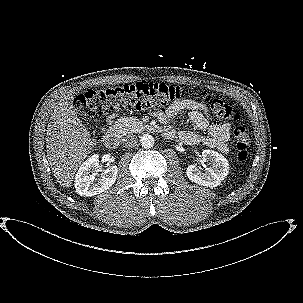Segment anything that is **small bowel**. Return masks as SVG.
I'll return each instance as SVG.
<instances>
[{"label":"small bowel","mask_w":303,"mask_h":303,"mask_svg":"<svg viewBox=\"0 0 303 303\" xmlns=\"http://www.w3.org/2000/svg\"><path fill=\"white\" fill-rule=\"evenodd\" d=\"M185 110L188 111V118L193 125L198 130L206 131L207 135L182 130L178 133L179 138L189 145H204L216 148L222 153H227L230 124L212 123L205 104L193 99H181L173 102L165 111L155 113V116L161 124H166L170 119L178 117ZM115 116V114H111L108 121H112ZM164 134L171 138L175 135V130L168 126L165 128Z\"/></svg>","instance_id":"small-bowel-1"}]
</instances>
